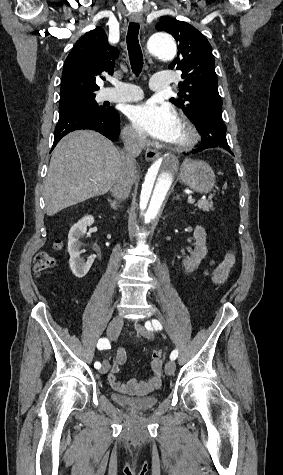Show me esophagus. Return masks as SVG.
<instances>
[{
    "label": "esophagus",
    "instance_id": "34e87169",
    "mask_svg": "<svg viewBox=\"0 0 283 475\" xmlns=\"http://www.w3.org/2000/svg\"><path fill=\"white\" fill-rule=\"evenodd\" d=\"M130 22L143 24V17L141 13H133L129 17ZM159 156V151L155 149H148L145 153V158L148 162L155 160ZM167 159L172 162H177V158L173 155H168Z\"/></svg>",
    "mask_w": 283,
    "mask_h": 475
}]
</instances>
